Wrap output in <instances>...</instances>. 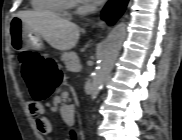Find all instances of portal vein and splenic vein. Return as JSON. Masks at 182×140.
<instances>
[{
    "instance_id": "18ae733b",
    "label": "portal vein and splenic vein",
    "mask_w": 182,
    "mask_h": 140,
    "mask_svg": "<svg viewBox=\"0 0 182 140\" xmlns=\"http://www.w3.org/2000/svg\"><path fill=\"white\" fill-rule=\"evenodd\" d=\"M80 69H81V64H78L75 71H79Z\"/></svg>"
}]
</instances>
